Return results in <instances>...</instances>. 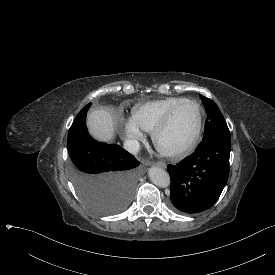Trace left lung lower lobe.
I'll use <instances>...</instances> for the list:
<instances>
[{
    "instance_id": "left-lung-lower-lobe-1",
    "label": "left lung lower lobe",
    "mask_w": 275,
    "mask_h": 275,
    "mask_svg": "<svg viewBox=\"0 0 275 275\" xmlns=\"http://www.w3.org/2000/svg\"><path fill=\"white\" fill-rule=\"evenodd\" d=\"M230 135L202 141L195 153L176 166L168 165L173 206L185 213L212 207L229 176Z\"/></svg>"
}]
</instances>
